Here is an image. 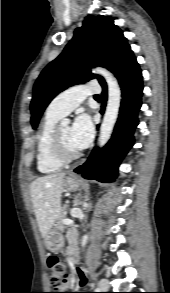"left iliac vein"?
Segmentation results:
<instances>
[{"mask_svg":"<svg viewBox=\"0 0 170 293\" xmlns=\"http://www.w3.org/2000/svg\"><path fill=\"white\" fill-rule=\"evenodd\" d=\"M100 287L103 289V290H107L109 288V281L106 280V279H102L100 281Z\"/></svg>","mask_w":170,"mask_h":293,"instance_id":"1","label":"left iliac vein"}]
</instances>
